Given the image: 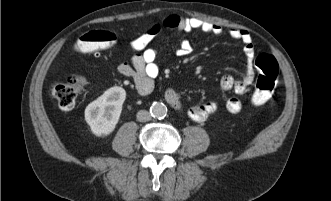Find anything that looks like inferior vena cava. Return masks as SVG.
<instances>
[{"label": "inferior vena cava", "mask_w": 331, "mask_h": 201, "mask_svg": "<svg viewBox=\"0 0 331 201\" xmlns=\"http://www.w3.org/2000/svg\"><path fill=\"white\" fill-rule=\"evenodd\" d=\"M151 118V114L147 110H140L137 113V120L140 122L150 121Z\"/></svg>", "instance_id": "inferior-vena-cava-1"}]
</instances>
